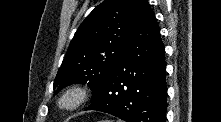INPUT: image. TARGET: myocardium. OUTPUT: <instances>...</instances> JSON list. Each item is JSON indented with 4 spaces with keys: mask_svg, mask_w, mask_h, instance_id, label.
Returning a JSON list of instances; mask_svg holds the SVG:
<instances>
[{
    "mask_svg": "<svg viewBox=\"0 0 221 122\" xmlns=\"http://www.w3.org/2000/svg\"><path fill=\"white\" fill-rule=\"evenodd\" d=\"M85 86L74 84L65 88L59 95L56 105L63 112H72L80 108L88 99Z\"/></svg>",
    "mask_w": 221,
    "mask_h": 122,
    "instance_id": "myocardium-1",
    "label": "myocardium"
}]
</instances>
